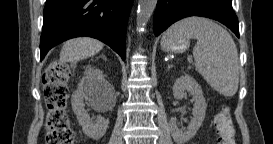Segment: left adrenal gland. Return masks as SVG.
<instances>
[{
	"mask_svg": "<svg viewBox=\"0 0 273 144\" xmlns=\"http://www.w3.org/2000/svg\"><path fill=\"white\" fill-rule=\"evenodd\" d=\"M170 67H172V65H168V69H169Z\"/></svg>",
	"mask_w": 273,
	"mask_h": 144,
	"instance_id": "obj_1",
	"label": "left adrenal gland"
}]
</instances>
